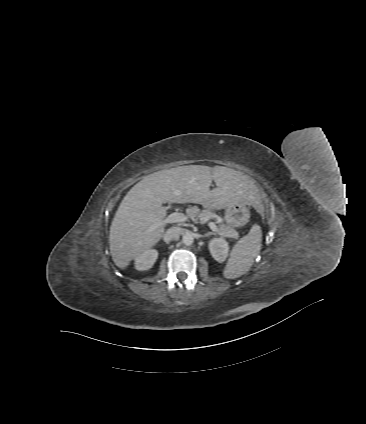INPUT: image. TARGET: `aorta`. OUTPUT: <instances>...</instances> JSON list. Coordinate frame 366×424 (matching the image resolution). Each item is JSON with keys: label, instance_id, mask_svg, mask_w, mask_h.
<instances>
[{"label": "aorta", "instance_id": "762f6f07", "mask_svg": "<svg viewBox=\"0 0 366 424\" xmlns=\"http://www.w3.org/2000/svg\"><path fill=\"white\" fill-rule=\"evenodd\" d=\"M182 242L186 246H191L194 243L193 234L190 233V232L184 234L183 237H182Z\"/></svg>", "mask_w": 366, "mask_h": 424}]
</instances>
